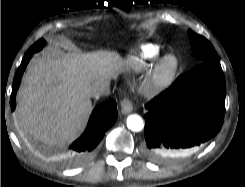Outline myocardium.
I'll return each instance as SVG.
<instances>
[{
    "mask_svg": "<svg viewBox=\"0 0 245 187\" xmlns=\"http://www.w3.org/2000/svg\"><path fill=\"white\" fill-rule=\"evenodd\" d=\"M178 66L179 62L176 56L168 55L165 57L153 79V88L160 91L171 85L176 76Z\"/></svg>",
    "mask_w": 245,
    "mask_h": 187,
    "instance_id": "f54148a6",
    "label": "myocardium"
}]
</instances>
